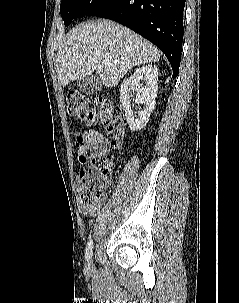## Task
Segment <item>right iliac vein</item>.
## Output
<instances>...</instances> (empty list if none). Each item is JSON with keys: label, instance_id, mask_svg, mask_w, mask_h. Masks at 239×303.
Segmentation results:
<instances>
[{"label": "right iliac vein", "instance_id": "63e3f726", "mask_svg": "<svg viewBox=\"0 0 239 303\" xmlns=\"http://www.w3.org/2000/svg\"><path fill=\"white\" fill-rule=\"evenodd\" d=\"M86 268H87V270L92 271V269H93V264H92L91 261H88V262H87Z\"/></svg>", "mask_w": 239, "mask_h": 303}]
</instances>
